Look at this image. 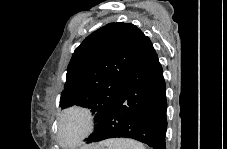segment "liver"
<instances>
[{
	"label": "liver",
	"mask_w": 227,
	"mask_h": 149,
	"mask_svg": "<svg viewBox=\"0 0 227 149\" xmlns=\"http://www.w3.org/2000/svg\"><path fill=\"white\" fill-rule=\"evenodd\" d=\"M96 148H100V146H96Z\"/></svg>",
	"instance_id": "6515ba94"
}]
</instances>
